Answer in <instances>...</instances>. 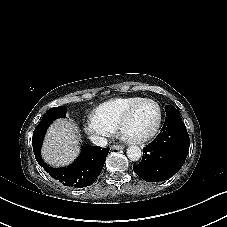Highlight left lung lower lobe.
I'll return each instance as SVG.
<instances>
[{
	"mask_svg": "<svg viewBox=\"0 0 227 227\" xmlns=\"http://www.w3.org/2000/svg\"><path fill=\"white\" fill-rule=\"evenodd\" d=\"M189 135L181 117L167 116L161 133L143 150L134 172L147 182L164 181L176 174L189 151Z\"/></svg>",
	"mask_w": 227,
	"mask_h": 227,
	"instance_id": "0a47b994",
	"label": "left lung lower lobe"
}]
</instances>
